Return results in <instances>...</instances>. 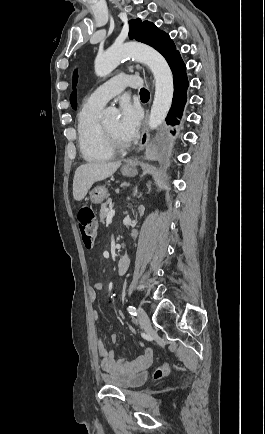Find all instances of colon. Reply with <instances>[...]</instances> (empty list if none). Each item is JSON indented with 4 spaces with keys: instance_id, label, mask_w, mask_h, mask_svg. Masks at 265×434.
<instances>
[{
    "instance_id": "obj_1",
    "label": "colon",
    "mask_w": 265,
    "mask_h": 434,
    "mask_svg": "<svg viewBox=\"0 0 265 434\" xmlns=\"http://www.w3.org/2000/svg\"><path fill=\"white\" fill-rule=\"evenodd\" d=\"M76 217L84 247H93L97 236V223L95 212L89 207H84L77 212ZM169 372L170 365L166 363L156 367L151 373V378L154 380H159L168 375Z\"/></svg>"
}]
</instances>
